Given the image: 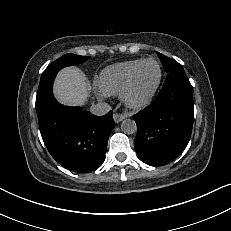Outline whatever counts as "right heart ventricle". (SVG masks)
<instances>
[{"instance_id":"obj_1","label":"right heart ventricle","mask_w":231,"mask_h":231,"mask_svg":"<svg viewBox=\"0 0 231 231\" xmlns=\"http://www.w3.org/2000/svg\"><path fill=\"white\" fill-rule=\"evenodd\" d=\"M142 60L143 59L128 60L106 67L101 71L97 79L99 91L107 96L121 93L130 73Z\"/></svg>"}]
</instances>
